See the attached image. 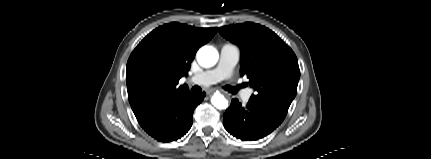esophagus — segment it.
<instances>
[{"label":"esophagus","instance_id":"obj_1","mask_svg":"<svg viewBox=\"0 0 431 159\" xmlns=\"http://www.w3.org/2000/svg\"><path fill=\"white\" fill-rule=\"evenodd\" d=\"M214 91H215V89H208V90H207V94H208V95H210V94H212Z\"/></svg>","mask_w":431,"mask_h":159}]
</instances>
